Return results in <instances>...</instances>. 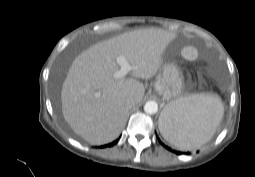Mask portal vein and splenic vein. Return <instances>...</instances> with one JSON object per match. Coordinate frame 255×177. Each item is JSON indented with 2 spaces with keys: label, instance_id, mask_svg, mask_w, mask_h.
<instances>
[{
  "label": "portal vein and splenic vein",
  "instance_id": "obj_1",
  "mask_svg": "<svg viewBox=\"0 0 255 177\" xmlns=\"http://www.w3.org/2000/svg\"><path fill=\"white\" fill-rule=\"evenodd\" d=\"M116 61L120 66V69L114 73V78L120 79L125 77L128 72L131 71L132 66L129 64L128 60L124 56H118L116 58Z\"/></svg>",
  "mask_w": 255,
  "mask_h": 177
}]
</instances>
